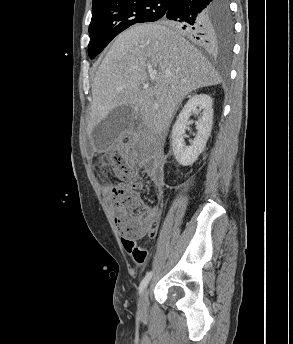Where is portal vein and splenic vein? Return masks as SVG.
I'll return each mask as SVG.
<instances>
[{
    "label": "portal vein and splenic vein",
    "instance_id": "obj_1",
    "mask_svg": "<svg viewBox=\"0 0 293 344\" xmlns=\"http://www.w3.org/2000/svg\"><path fill=\"white\" fill-rule=\"evenodd\" d=\"M150 75H153V78L155 77V74H154V73H151Z\"/></svg>",
    "mask_w": 293,
    "mask_h": 344
}]
</instances>
